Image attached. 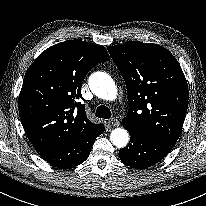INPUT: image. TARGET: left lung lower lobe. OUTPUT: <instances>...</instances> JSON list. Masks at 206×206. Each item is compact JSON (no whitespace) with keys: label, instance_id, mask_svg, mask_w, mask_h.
I'll return each instance as SVG.
<instances>
[{"label":"left lung lower lobe","instance_id":"left-lung-lower-lobe-1","mask_svg":"<svg viewBox=\"0 0 206 206\" xmlns=\"http://www.w3.org/2000/svg\"><path fill=\"white\" fill-rule=\"evenodd\" d=\"M128 130V129H127ZM130 143L120 149L121 161L130 167L145 169L162 160L176 142L130 131Z\"/></svg>","mask_w":206,"mask_h":206}]
</instances>
